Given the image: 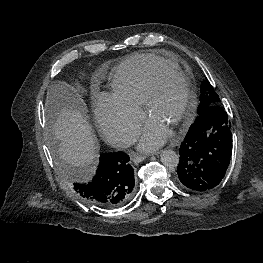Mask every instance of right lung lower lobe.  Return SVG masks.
<instances>
[{
    "instance_id": "1",
    "label": "right lung lower lobe",
    "mask_w": 263,
    "mask_h": 263,
    "mask_svg": "<svg viewBox=\"0 0 263 263\" xmlns=\"http://www.w3.org/2000/svg\"><path fill=\"white\" fill-rule=\"evenodd\" d=\"M129 156L121 151L100 156L96 175L88 183H74L83 201L104 208L125 204L133 193L134 171Z\"/></svg>"
}]
</instances>
